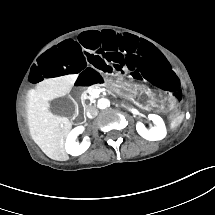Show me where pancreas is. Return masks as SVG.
Returning <instances> with one entry per match:
<instances>
[{"mask_svg": "<svg viewBox=\"0 0 215 215\" xmlns=\"http://www.w3.org/2000/svg\"><path fill=\"white\" fill-rule=\"evenodd\" d=\"M98 88V86L94 85V86H90L85 92L84 95L87 96V99L90 101V103H93L95 99H97L99 97V95H96L93 93V90ZM112 90L114 92H119L117 90V88L115 87V84H113L112 86Z\"/></svg>", "mask_w": 215, "mask_h": 215, "instance_id": "cf45deb5", "label": "pancreas"}]
</instances>
